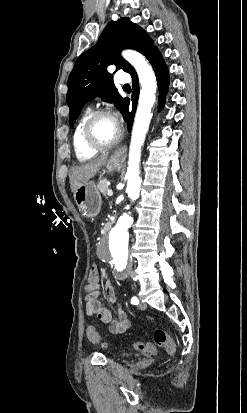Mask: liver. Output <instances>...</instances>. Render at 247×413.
I'll return each mask as SVG.
<instances>
[{
  "label": "liver",
  "mask_w": 247,
  "mask_h": 413,
  "mask_svg": "<svg viewBox=\"0 0 247 413\" xmlns=\"http://www.w3.org/2000/svg\"><path fill=\"white\" fill-rule=\"evenodd\" d=\"M108 158V152L106 154H102V156H97V158H93V160H89V162H85V164H80V166H75L72 174H70V186L71 190L75 192L76 188L80 186V184H84V182H88L98 170H100L102 164L106 162Z\"/></svg>",
  "instance_id": "6515ba94"
}]
</instances>
